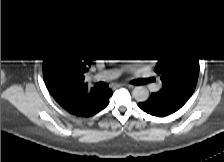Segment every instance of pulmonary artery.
Segmentation results:
<instances>
[{"mask_svg":"<svg viewBox=\"0 0 224 162\" xmlns=\"http://www.w3.org/2000/svg\"><path fill=\"white\" fill-rule=\"evenodd\" d=\"M119 75H120V71L112 70V71H107V72L99 75V78L103 79V80H111V79L118 77Z\"/></svg>","mask_w":224,"mask_h":162,"instance_id":"1","label":"pulmonary artery"}]
</instances>
